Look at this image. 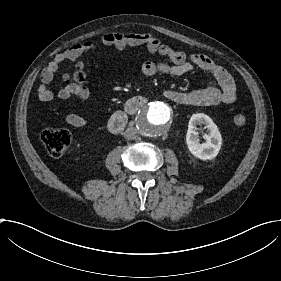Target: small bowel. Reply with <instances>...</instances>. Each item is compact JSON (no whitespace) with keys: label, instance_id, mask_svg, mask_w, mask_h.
Listing matches in <instances>:
<instances>
[{"label":"small bowel","instance_id":"obj_1","mask_svg":"<svg viewBox=\"0 0 281 281\" xmlns=\"http://www.w3.org/2000/svg\"><path fill=\"white\" fill-rule=\"evenodd\" d=\"M102 43L113 47L115 50L122 51L130 47H144L150 52L160 53L168 56L170 63L147 62L141 67V72L145 76L164 74L167 76H183L198 67L207 72L209 83L206 87L195 90H179L175 88H163L161 94L180 105H202L216 106L229 105L236 101L237 91L235 82L231 75L219 66L212 58L201 54L193 53L188 55L183 51L173 49L164 45L160 39L152 32L141 33H109L102 37ZM96 41H88L84 44H76L71 49L60 53L54 57L46 66L40 76L41 84L38 89V96L41 101H51L53 93L49 88L55 73L67 60H75L85 51H92L97 48ZM72 94L81 98H88L90 92L87 88H74L66 86L57 93L59 100H67ZM66 122L73 127H84L86 120L78 115L69 114Z\"/></svg>","mask_w":281,"mask_h":281}]
</instances>
